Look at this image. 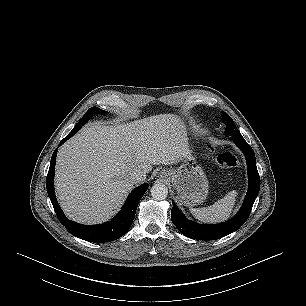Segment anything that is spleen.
Segmentation results:
<instances>
[{
    "mask_svg": "<svg viewBox=\"0 0 306 306\" xmlns=\"http://www.w3.org/2000/svg\"><path fill=\"white\" fill-rule=\"evenodd\" d=\"M237 191L233 190L213 205L204 208H191V214L201 222L219 223L227 220L233 210Z\"/></svg>",
    "mask_w": 306,
    "mask_h": 306,
    "instance_id": "3e777b00",
    "label": "spleen"
}]
</instances>
